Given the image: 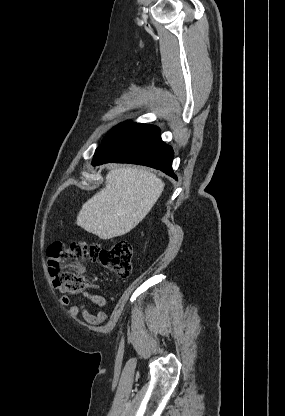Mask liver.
I'll return each instance as SVG.
<instances>
[{"label": "liver", "instance_id": "liver-1", "mask_svg": "<svg viewBox=\"0 0 285 416\" xmlns=\"http://www.w3.org/2000/svg\"><path fill=\"white\" fill-rule=\"evenodd\" d=\"M106 186L83 204L77 226L100 240L124 236L147 216L165 184L156 174L138 168H114L108 172Z\"/></svg>", "mask_w": 285, "mask_h": 416}]
</instances>
